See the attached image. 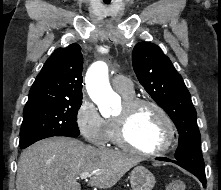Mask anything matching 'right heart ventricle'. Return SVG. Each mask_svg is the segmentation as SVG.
<instances>
[{"label": "right heart ventricle", "mask_w": 221, "mask_h": 190, "mask_svg": "<svg viewBox=\"0 0 221 190\" xmlns=\"http://www.w3.org/2000/svg\"><path fill=\"white\" fill-rule=\"evenodd\" d=\"M120 94L123 96L124 100L134 98V91L132 93H128V94H125V93H120ZM108 122H109V126H110L109 141H111L112 143H114L116 145H119L118 139H117V130H116V125H115L114 119H110V120H108Z\"/></svg>", "instance_id": "right-heart-ventricle-1"}]
</instances>
